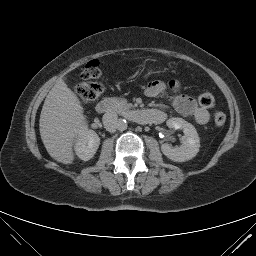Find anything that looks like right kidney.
I'll list each match as a JSON object with an SVG mask.
<instances>
[{
  "label": "right kidney",
  "instance_id": "1",
  "mask_svg": "<svg viewBox=\"0 0 256 256\" xmlns=\"http://www.w3.org/2000/svg\"><path fill=\"white\" fill-rule=\"evenodd\" d=\"M99 144L100 138L97 133L85 126L76 139L75 152L80 159L88 161L96 153Z\"/></svg>",
  "mask_w": 256,
  "mask_h": 256
}]
</instances>
